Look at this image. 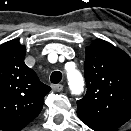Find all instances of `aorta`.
Instances as JSON below:
<instances>
[{
    "label": "aorta",
    "instance_id": "1",
    "mask_svg": "<svg viewBox=\"0 0 131 131\" xmlns=\"http://www.w3.org/2000/svg\"><path fill=\"white\" fill-rule=\"evenodd\" d=\"M69 88L73 94H79L83 90L84 80L81 73L77 70L67 72Z\"/></svg>",
    "mask_w": 131,
    "mask_h": 131
}]
</instances>
